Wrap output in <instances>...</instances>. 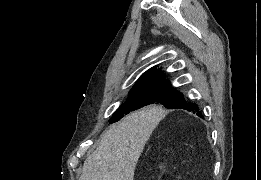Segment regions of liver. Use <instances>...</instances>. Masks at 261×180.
Returning <instances> with one entry per match:
<instances>
[{
	"mask_svg": "<svg viewBox=\"0 0 261 180\" xmlns=\"http://www.w3.org/2000/svg\"><path fill=\"white\" fill-rule=\"evenodd\" d=\"M160 108H142L110 126L91 156L85 160L80 180H134L135 166L153 132Z\"/></svg>",
	"mask_w": 261,
	"mask_h": 180,
	"instance_id": "liver-1",
	"label": "liver"
}]
</instances>
